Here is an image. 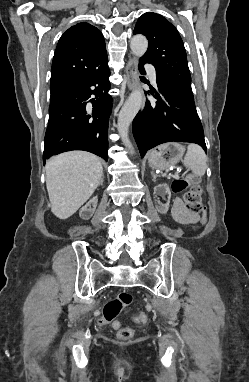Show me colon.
<instances>
[{
    "label": "colon",
    "mask_w": 249,
    "mask_h": 382,
    "mask_svg": "<svg viewBox=\"0 0 249 382\" xmlns=\"http://www.w3.org/2000/svg\"><path fill=\"white\" fill-rule=\"evenodd\" d=\"M190 185L187 179H178L173 181L172 190L176 193L185 191ZM202 189L196 180L193 181L191 187L184 193V201L187 209L195 214H199L202 220L205 219L206 209L201 199ZM132 301V296L128 292H120L115 298L108 301L103 307V314L100 319L101 324H112L114 329L120 328V323L116 321L117 316L122 308L128 306ZM136 321L146 323L148 321L147 314L140 312L136 316ZM133 336V330L130 327H123L118 330V337L123 341H128Z\"/></svg>",
    "instance_id": "obj_1"
}]
</instances>
